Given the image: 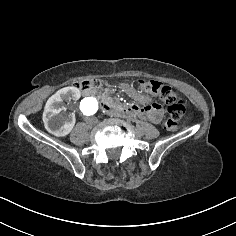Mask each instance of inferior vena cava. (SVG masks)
<instances>
[{"instance_id": "602c4592", "label": "inferior vena cava", "mask_w": 236, "mask_h": 236, "mask_svg": "<svg viewBox=\"0 0 236 236\" xmlns=\"http://www.w3.org/2000/svg\"><path fill=\"white\" fill-rule=\"evenodd\" d=\"M84 122H87V124L97 125L98 119L93 117H84Z\"/></svg>"}]
</instances>
